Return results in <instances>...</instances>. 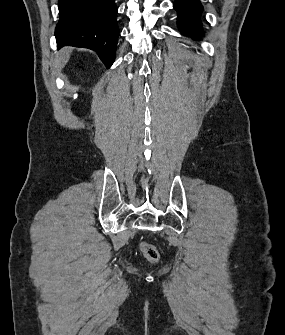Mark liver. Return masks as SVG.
Masks as SVG:
<instances>
[{"label": "liver", "mask_w": 285, "mask_h": 335, "mask_svg": "<svg viewBox=\"0 0 285 335\" xmlns=\"http://www.w3.org/2000/svg\"><path fill=\"white\" fill-rule=\"evenodd\" d=\"M71 50L70 48H63V50H60L59 52V60H58V66H60V70L66 66L69 58H70Z\"/></svg>", "instance_id": "6515ba94"}]
</instances>
